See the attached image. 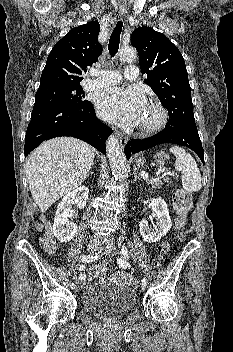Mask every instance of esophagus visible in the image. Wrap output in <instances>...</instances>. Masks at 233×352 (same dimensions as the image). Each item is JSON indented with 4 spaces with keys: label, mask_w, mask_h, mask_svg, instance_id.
Instances as JSON below:
<instances>
[{
    "label": "esophagus",
    "mask_w": 233,
    "mask_h": 352,
    "mask_svg": "<svg viewBox=\"0 0 233 352\" xmlns=\"http://www.w3.org/2000/svg\"><path fill=\"white\" fill-rule=\"evenodd\" d=\"M125 13H126V10H125V9H119V16H120L121 18L125 15ZM116 134H117V136H118L120 145H121V146H124V145L128 142V138H127L124 134H122V133H120V132H117Z\"/></svg>",
    "instance_id": "1"
}]
</instances>
